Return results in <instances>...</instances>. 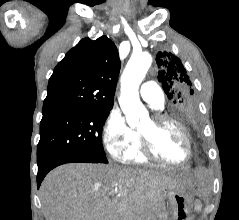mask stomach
I'll return each instance as SVG.
<instances>
[{
	"instance_id": "1",
	"label": "stomach",
	"mask_w": 239,
	"mask_h": 220,
	"mask_svg": "<svg viewBox=\"0 0 239 220\" xmlns=\"http://www.w3.org/2000/svg\"><path fill=\"white\" fill-rule=\"evenodd\" d=\"M165 197L171 207L167 213L172 214V220H191L192 199L184 188L168 189Z\"/></svg>"
}]
</instances>
